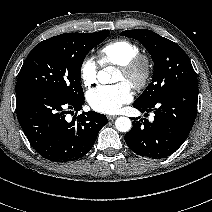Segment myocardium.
<instances>
[{
	"mask_svg": "<svg viewBox=\"0 0 212 212\" xmlns=\"http://www.w3.org/2000/svg\"><path fill=\"white\" fill-rule=\"evenodd\" d=\"M119 70L125 75L128 83L135 89H144L153 74V64L146 55L137 54L125 64L119 65Z\"/></svg>",
	"mask_w": 212,
	"mask_h": 212,
	"instance_id": "obj_1",
	"label": "myocardium"
}]
</instances>
